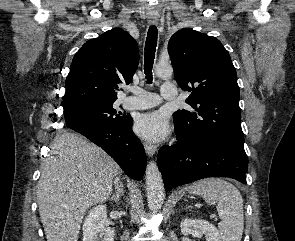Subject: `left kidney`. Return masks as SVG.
<instances>
[{
	"mask_svg": "<svg viewBox=\"0 0 295 241\" xmlns=\"http://www.w3.org/2000/svg\"><path fill=\"white\" fill-rule=\"evenodd\" d=\"M180 228L183 235H192L193 237L205 235L206 241H222L217 228L206 220L185 218L182 220Z\"/></svg>",
	"mask_w": 295,
	"mask_h": 241,
	"instance_id": "left-kidney-1",
	"label": "left kidney"
}]
</instances>
